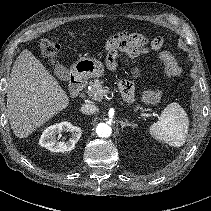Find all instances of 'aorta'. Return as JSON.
<instances>
[{"label":"aorta","instance_id":"aorta-1","mask_svg":"<svg viewBox=\"0 0 211 211\" xmlns=\"http://www.w3.org/2000/svg\"><path fill=\"white\" fill-rule=\"evenodd\" d=\"M96 133L99 137L107 138L111 135L112 129L106 123H99L97 128H96Z\"/></svg>","mask_w":211,"mask_h":211}]
</instances>
